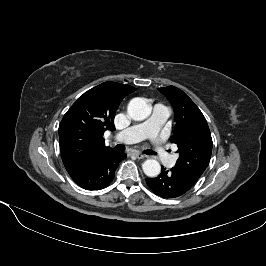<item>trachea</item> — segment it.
<instances>
[{"label":"trachea","instance_id":"trachea-1","mask_svg":"<svg viewBox=\"0 0 266 266\" xmlns=\"http://www.w3.org/2000/svg\"><path fill=\"white\" fill-rule=\"evenodd\" d=\"M115 149H116L117 151H124V150H125V147L122 146V145H116Z\"/></svg>","mask_w":266,"mask_h":266}]
</instances>
